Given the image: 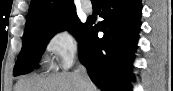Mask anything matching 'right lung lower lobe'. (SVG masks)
Returning <instances> with one entry per match:
<instances>
[{
    "instance_id": "obj_1",
    "label": "right lung lower lobe",
    "mask_w": 173,
    "mask_h": 91,
    "mask_svg": "<svg viewBox=\"0 0 173 91\" xmlns=\"http://www.w3.org/2000/svg\"><path fill=\"white\" fill-rule=\"evenodd\" d=\"M104 21L87 27L79 40L80 60L103 91H129L130 66L140 29L141 0H102ZM104 36L99 38L97 33Z\"/></svg>"
}]
</instances>
